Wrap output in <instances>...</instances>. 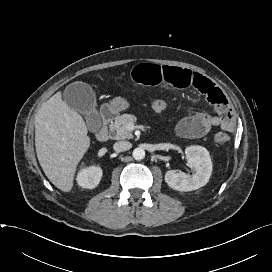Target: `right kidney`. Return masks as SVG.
<instances>
[{
  "instance_id": "obj_1",
  "label": "right kidney",
  "mask_w": 272,
  "mask_h": 272,
  "mask_svg": "<svg viewBox=\"0 0 272 272\" xmlns=\"http://www.w3.org/2000/svg\"><path fill=\"white\" fill-rule=\"evenodd\" d=\"M101 177L102 169L99 166H91L79 171L77 183L82 188L93 189L99 184Z\"/></svg>"
}]
</instances>
